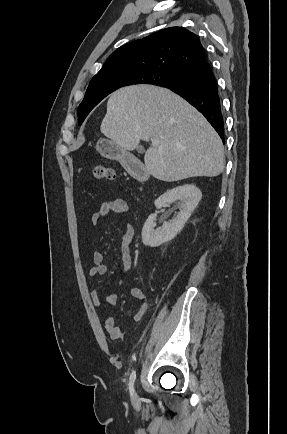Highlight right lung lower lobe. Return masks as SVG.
<instances>
[{"label": "right lung lower lobe", "mask_w": 287, "mask_h": 434, "mask_svg": "<svg viewBox=\"0 0 287 434\" xmlns=\"http://www.w3.org/2000/svg\"><path fill=\"white\" fill-rule=\"evenodd\" d=\"M166 88L183 97L201 112L224 141L221 99L208 60L186 70L175 83Z\"/></svg>", "instance_id": "right-lung-lower-lobe-1"}]
</instances>
